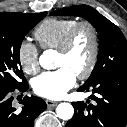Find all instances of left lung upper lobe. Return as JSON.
<instances>
[{"label":"left lung upper lobe","mask_w":127,"mask_h":127,"mask_svg":"<svg viewBox=\"0 0 127 127\" xmlns=\"http://www.w3.org/2000/svg\"><path fill=\"white\" fill-rule=\"evenodd\" d=\"M51 15L79 16L88 20L100 37L97 63L83 85L97 81L108 73H127V41L121 30L88 5H78L53 11Z\"/></svg>","instance_id":"5c2ea615"}]
</instances>
